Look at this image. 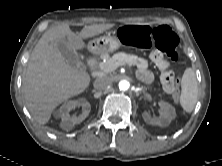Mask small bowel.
Listing matches in <instances>:
<instances>
[{
  "label": "small bowel",
  "mask_w": 222,
  "mask_h": 166,
  "mask_svg": "<svg viewBox=\"0 0 222 166\" xmlns=\"http://www.w3.org/2000/svg\"><path fill=\"white\" fill-rule=\"evenodd\" d=\"M152 61L161 69L165 70L167 68V62L165 61L163 54L159 51H155L151 54ZM138 77L143 81H151L152 80V74L147 70H141L138 73ZM167 92H170V90L165 89Z\"/></svg>",
  "instance_id": "c3829d8e"
}]
</instances>
